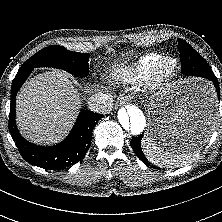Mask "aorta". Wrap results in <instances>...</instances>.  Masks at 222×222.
<instances>
[{"label": "aorta", "mask_w": 222, "mask_h": 222, "mask_svg": "<svg viewBox=\"0 0 222 222\" xmlns=\"http://www.w3.org/2000/svg\"><path fill=\"white\" fill-rule=\"evenodd\" d=\"M117 117L121 128L126 133L138 135L145 128V115L136 105L129 104L125 108H121L118 111Z\"/></svg>", "instance_id": "762f6f07"}]
</instances>
